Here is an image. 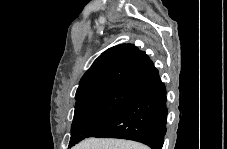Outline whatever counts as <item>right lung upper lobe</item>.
<instances>
[{
  "mask_svg": "<svg viewBox=\"0 0 227 149\" xmlns=\"http://www.w3.org/2000/svg\"><path fill=\"white\" fill-rule=\"evenodd\" d=\"M158 73L145 52L133 44H120L107 49L94 61L80 80L76 100L113 84L137 88Z\"/></svg>",
  "mask_w": 227,
  "mask_h": 149,
  "instance_id": "right-lung-upper-lobe-1",
  "label": "right lung upper lobe"
}]
</instances>
